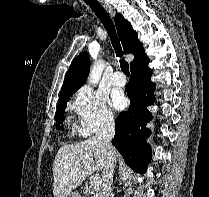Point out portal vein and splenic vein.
Wrapping results in <instances>:
<instances>
[{
    "instance_id": "obj_1",
    "label": "portal vein and splenic vein",
    "mask_w": 209,
    "mask_h": 197,
    "mask_svg": "<svg viewBox=\"0 0 209 197\" xmlns=\"http://www.w3.org/2000/svg\"><path fill=\"white\" fill-rule=\"evenodd\" d=\"M93 183H94L95 185H100V184L102 183V180H101L100 177L96 176V177H94V179H93Z\"/></svg>"
}]
</instances>
